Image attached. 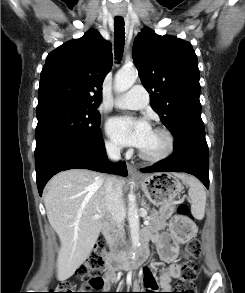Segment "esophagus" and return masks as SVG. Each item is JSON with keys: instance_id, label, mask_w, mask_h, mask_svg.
<instances>
[{"instance_id": "34e87169", "label": "esophagus", "mask_w": 245, "mask_h": 293, "mask_svg": "<svg viewBox=\"0 0 245 293\" xmlns=\"http://www.w3.org/2000/svg\"><path fill=\"white\" fill-rule=\"evenodd\" d=\"M127 169H128V173L130 176H138L139 175L138 170L134 165L127 164Z\"/></svg>"}]
</instances>
